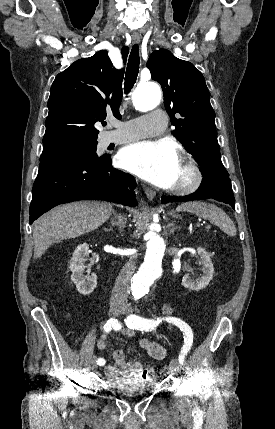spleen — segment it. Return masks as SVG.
Masks as SVG:
<instances>
[{"mask_svg": "<svg viewBox=\"0 0 275 429\" xmlns=\"http://www.w3.org/2000/svg\"><path fill=\"white\" fill-rule=\"evenodd\" d=\"M178 212L184 211L195 214L205 220H209L212 224L220 227V229L229 236L236 235V227L230 217L219 207L214 204L205 202H188L181 204L176 209Z\"/></svg>", "mask_w": 275, "mask_h": 429, "instance_id": "1", "label": "spleen"}]
</instances>
